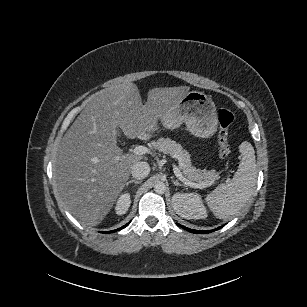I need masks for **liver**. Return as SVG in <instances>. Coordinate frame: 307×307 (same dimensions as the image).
I'll return each mask as SVG.
<instances>
[{"label":"liver","mask_w":307,"mask_h":307,"mask_svg":"<svg viewBox=\"0 0 307 307\" xmlns=\"http://www.w3.org/2000/svg\"><path fill=\"white\" fill-rule=\"evenodd\" d=\"M189 86L148 91L142 103L134 83H122L92 95L67 130L54 160L56 199L82 225L96 226L112 209L141 156L123 154L117 128L129 139L154 132L161 115L177 108Z\"/></svg>","instance_id":"liver-1"}]
</instances>
